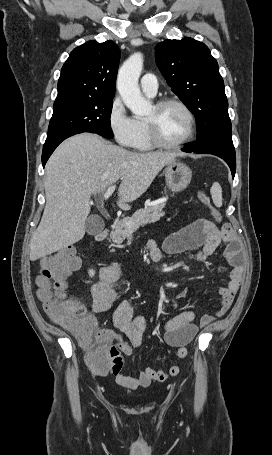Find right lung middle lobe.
<instances>
[{"label":"right lung middle lobe","mask_w":272,"mask_h":455,"mask_svg":"<svg viewBox=\"0 0 272 455\" xmlns=\"http://www.w3.org/2000/svg\"><path fill=\"white\" fill-rule=\"evenodd\" d=\"M113 98L55 101L48 138L68 132H90L113 138L110 124Z\"/></svg>","instance_id":"right-lung-middle-lobe-1"}]
</instances>
